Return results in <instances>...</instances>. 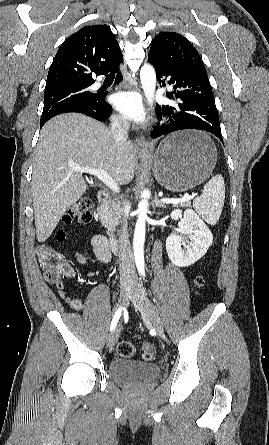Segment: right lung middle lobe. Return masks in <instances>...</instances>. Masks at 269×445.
Segmentation results:
<instances>
[{
	"mask_svg": "<svg viewBox=\"0 0 269 445\" xmlns=\"http://www.w3.org/2000/svg\"><path fill=\"white\" fill-rule=\"evenodd\" d=\"M91 85H65L45 89L41 125H44L50 118L62 113L64 110L74 107H87L95 102L98 95L88 90V87Z\"/></svg>",
	"mask_w": 269,
	"mask_h": 445,
	"instance_id": "1",
	"label": "right lung middle lobe"
}]
</instances>
